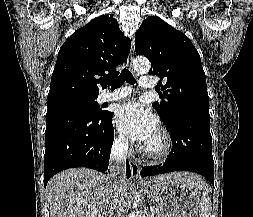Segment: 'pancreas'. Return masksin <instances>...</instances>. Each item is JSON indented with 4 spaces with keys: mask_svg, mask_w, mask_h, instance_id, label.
I'll return each instance as SVG.
<instances>
[{
    "mask_svg": "<svg viewBox=\"0 0 253 217\" xmlns=\"http://www.w3.org/2000/svg\"><path fill=\"white\" fill-rule=\"evenodd\" d=\"M154 213V217H164V214L162 213V211L160 209H154L153 210Z\"/></svg>",
    "mask_w": 253,
    "mask_h": 217,
    "instance_id": "1",
    "label": "pancreas"
}]
</instances>
